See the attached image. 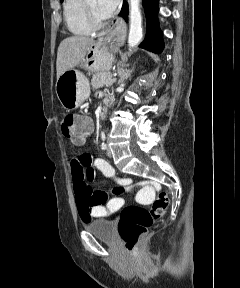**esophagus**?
<instances>
[{"mask_svg": "<svg viewBox=\"0 0 240 288\" xmlns=\"http://www.w3.org/2000/svg\"><path fill=\"white\" fill-rule=\"evenodd\" d=\"M119 24V20L117 19L114 23H113V26L112 27H114V26H116V25H118ZM105 33H102L101 34V36H103Z\"/></svg>", "mask_w": 240, "mask_h": 288, "instance_id": "esophagus-1", "label": "esophagus"}]
</instances>
